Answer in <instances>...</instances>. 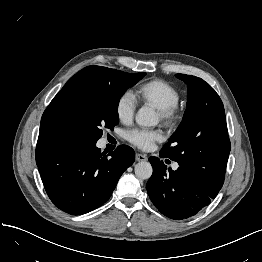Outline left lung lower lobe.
Returning a JSON list of instances; mask_svg holds the SVG:
<instances>
[{"label":"left lung lower lobe","mask_w":262,"mask_h":262,"mask_svg":"<svg viewBox=\"0 0 262 262\" xmlns=\"http://www.w3.org/2000/svg\"><path fill=\"white\" fill-rule=\"evenodd\" d=\"M160 157H165L160 153ZM153 174L146 189L154 206L173 220L190 218L202 211L216 197L220 187H210L188 170L179 167L167 169L163 161L150 157Z\"/></svg>","instance_id":"0a47b994"}]
</instances>
